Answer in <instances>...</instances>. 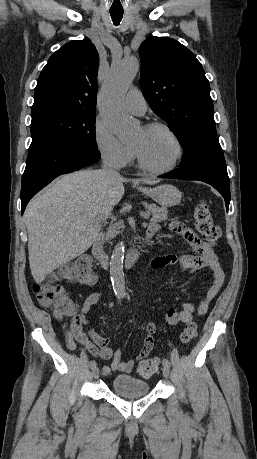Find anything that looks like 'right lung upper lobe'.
I'll return each mask as SVG.
<instances>
[{"label":"right lung upper lobe","instance_id":"cb5924a9","mask_svg":"<svg viewBox=\"0 0 257 459\" xmlns=\"http://www.w3.org/2000/svg\"><path fill=\"white\" fill-rule=\"evenodd\" d=\"M99 55L90 40L62 46L43 68L32 112L50 107L96 111Z\"/></svg>","mask_w":257,"mask_h":459}]
</instances>
